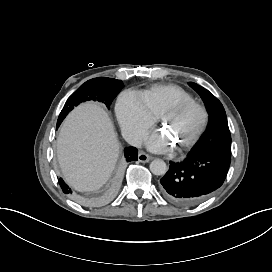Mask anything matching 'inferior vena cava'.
<instances>
[{
  "instance_id": "obj_1",
  "label": "inferior vena cava",
  "mask_w": 272,
  "mask_h": 272,
  "mask_svg": "<svg viewBox=\"0 0 272 272\" xmlns=\"http://www.w3.org/2000/svg\"><path fill=\"white\" fill-rule=\"evenodd\" d=\"M141 143V139L140 138H134L132 141V145L139 147Z\"/></svg>"
}]
</instances>
